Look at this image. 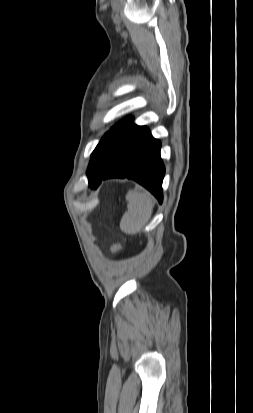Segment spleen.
<instances>
[{"mask_svg": "<svg viewBox=\"0 0 253 413\" xmlns=\"http://www.w3.org/2000/svg\"><path fill=\"white\" fill-rule=\"evenodd\" d=\"M127 211L120 222V229L129 235H135L150 220L154 198L146 191L130 190L126 194Z\"/></svg>", "mask_w": 253, "mask_h": 413, "instance_id": "1", "label": "spleen"}]
</instances>
